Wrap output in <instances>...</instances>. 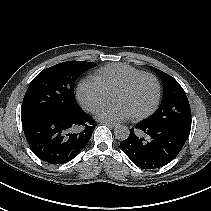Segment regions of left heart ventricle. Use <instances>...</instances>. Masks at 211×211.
<instances>
[{"label":"left heart ventricle","instance_id":"left-heart-ventricle-1","mask_svg":"<svg viewBox=\"0 0 211 211\" xmlns=\"http://www.w3.org/2000/svg\"><path fill=\"white\" fill-rule=\"evenodd\" d=\"M155 96L156 86L154 81L150 78H143L128 90L112 95V101L123 104L133 115L150 108Z\"/></svg>","mask_w":211,"mask_h":211}]
</instances>
